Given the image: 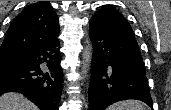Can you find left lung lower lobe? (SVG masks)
Wrapping results in <instances>:
<instances>
[{"mask_svg":"<svg viewBox=\"0 0 171 110\" xmlns=\"http://www.w3.org/2000/svg\"><path fill=\"white\" fill-rule=\"evenodd\" d=\"M89 36L93 44L89 110H105L126 99H138L153 107L137 42L114 33L94 17Z\"/></svg>","mask_w":171,"mask_h":110,"instance_id":"left-lung-lower-lobe-1","label":"left lung lower lobe"}]
</instances>
